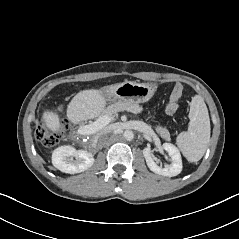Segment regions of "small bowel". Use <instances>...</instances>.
<instances>
[{
  "label": "small bowel",
  "mask_w": 239,
  "mask_h": 239,
  "mask_svg": "<svg viewBox=\"0 0 239 239\" xmlns=\"http://www.w3.org/2000/svg\"><path fill=\"white\" fill-rule=\"evenodd\" d=\"M181 87L180 86H176L174 91H173V97L171 102L169 103L168 107H167V112L169 114H173L176 112L178 105H177V98L180 96L181 94Z\"/></svg>",
  "instance_id": "c3829d8e"
}]
</instances>
